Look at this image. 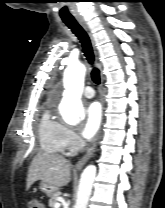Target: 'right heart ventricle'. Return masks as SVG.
I'll return each mask as SVG.
<instances>
[{
  "mask_svg": "<svg viewBox=\"0 0 165 208\" xmlns=\"http://www.w3.org/2000/svg\"><path fill=\"white\" fill-rule=\"evenodd\" d=\"M40 145L48 153L66 152L65 126L53 117L50 110H45L39 123Z\"/></svg>",
  "mask_w": 165,
  "mask_h": 208,
  "instance_id": "1",
  "label": "right heart ventricle"
}]
</instances>
